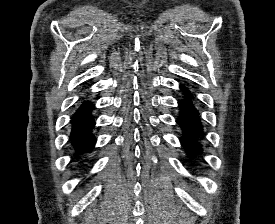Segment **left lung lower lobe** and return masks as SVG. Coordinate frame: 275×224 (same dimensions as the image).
Listing matches in <instances>:
<instances>
[{"label":"left lung lower lobe","mask_w":275,"mask_h":224,"mask_svg":"<svg viewBox=\"0 0 275 224\" xmlns=\"http://www.w3.org/2000/svg\"><path fill=\"white\" fill-rule=\"evenodd\" d=\"M181 90L186 89L181 86ZM180 115L176 122L181 127L183 137L181 138L182 146L188 152V157L196 158L202 153L201 140H203V126L195 106L191 101V96L179 101Z\"/></svg>","instance_id":"obj_1"}]
</instances>
